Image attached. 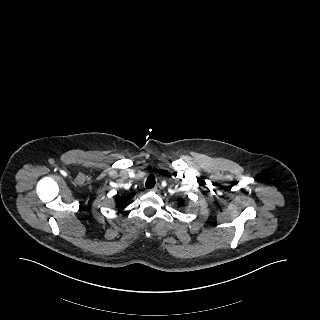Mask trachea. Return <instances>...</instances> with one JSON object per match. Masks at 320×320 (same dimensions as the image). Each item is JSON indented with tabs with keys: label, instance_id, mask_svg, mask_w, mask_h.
<instances>
[{
	"label": "trachea",
	"instance_id": "3493384b",
	"mask_svg": "<svg viewBox=\"0 0 320 320\" xmlns=\"http://www.w3.org/2000/svg\"><path fill=\"white\" fill-rule=\"evenodd\" d=\"M145 186L147 189L153 188L155 186V178L153 176H149L146 180Z\"/></svg>",
	"mask_w": 320,
	"mask_h": 320
}]
</instances>
